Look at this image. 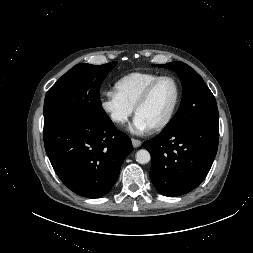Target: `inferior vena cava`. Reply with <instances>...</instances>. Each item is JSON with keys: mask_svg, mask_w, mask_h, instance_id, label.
<instances>
[{"mask_svg": "<svg viewBox=\"0 0 253 253\" xmlns=\"http://www.w3.org/2000/svg\"><path fill=\"white\" fill-rule=\"evenodd\" d=\"M112 118L115 121H123L124 120L122 116H118V115H114V116H112Z\"/></svg>", "mask_w": 253, "mask_h": 253, "instance_id": "602c4592", "label": "inferior vena cava"}]
</instances>
